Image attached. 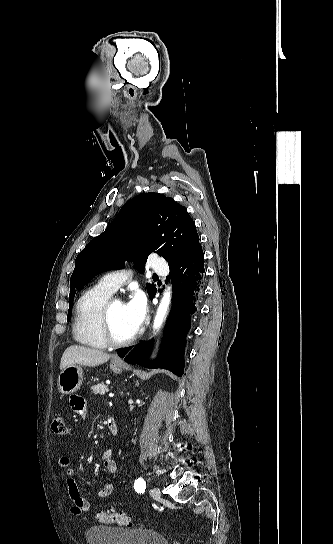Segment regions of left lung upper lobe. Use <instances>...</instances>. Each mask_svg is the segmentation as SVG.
I'll use <instances>...</instances> for the list:
<instances>
[{"instance_id":"left-lung-upper-lobe-1","label":"left lung upper lobe","mask_w":333,"mask_h":544,"mask_svg":"<svg viewBox=\"0 0 333 544\" xmlns=\"http://www.w3.org/2000/svg\"><path fill=\"white\" fill-rule=\"evenodd\" d=\"M195 223L186 208L158 193L140 194L129 200L106 230L92 239L77 256L71 277V318L75 288L81 289L98 273L119 268L125 260L145 262L155 252L169 267L183 262L198 246ZM157 291L147 284L149 297Z\"/></svg>"}]
</instances>
